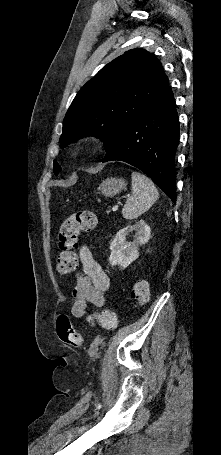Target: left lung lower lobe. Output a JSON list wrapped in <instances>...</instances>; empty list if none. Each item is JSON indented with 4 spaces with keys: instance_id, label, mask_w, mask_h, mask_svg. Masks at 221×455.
I'll return each mask as SVG.
<instances>
[{
    "instance_id": "left-lung-lower-lobe-1",
    "label": "left lung lower lobe",
    "mask_w": 221,
    "mask_h": 455,
    "mask_svg": "<svg viewBox=\"0 0 221 455\" xmlns=\"http://www.w3.org/2000/svg\"><path fill=\"white\" fill-rule=\"evenodd\" d=\"M179 130L175 99L167 86L159 98L125 128L103 162L119 160L137 167L175 203Z\"/></svg>"
}]
</instances>
